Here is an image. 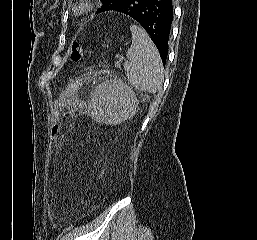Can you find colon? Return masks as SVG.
Instances as JSON below:
<instances>
[{
	"instance_id": "obj_1",
	"label": "colon",
	"mask_w": 257,
	"mask_h": 240,
	"mask_svg": "<svg viewBox=\"0 0 257 240\" xmlns=\"http://www.w3.org/2000/svg\"><path fill=\"white\" fill-rule=\"evenodd\" d=\"M84 54V47L80 43L72 44L71 51H70V59L73 62H78L82 59ZM61 122H62V115H61V108L59 103L56 101L52 111V121H51V129L50 134L53 138L57 137L61 131Z\"/></svg>"
}]
</instances>
